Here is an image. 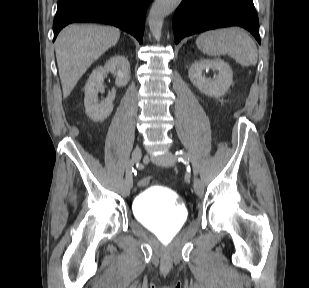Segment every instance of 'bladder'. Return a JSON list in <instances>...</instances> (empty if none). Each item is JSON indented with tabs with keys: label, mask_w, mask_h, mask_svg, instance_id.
<instances>
[{
	"label": "bladder",
	"mask_w": 309,
	"mask_h": 288,
	"mask_svg": "<svg viewBox=\"0 0 309 288\" xmlns=\"http://www.w3.org/2000/svg\"><path fill=\"white\" fill-rule=\"evenodd\" d=\"M133 212L141 225L159 234L179 232L188 216L179 197L161 187L139 193L133 201Z\"/></svg>",
	"instance_id": "31cf9c89"
}]
</instances>
